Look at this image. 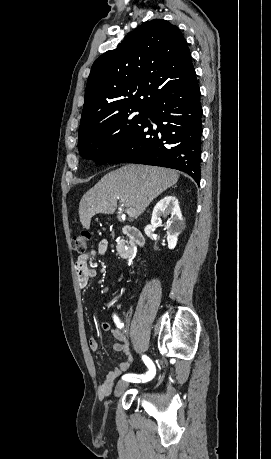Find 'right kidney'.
Here are the masks:
<instances>
[{
    "label": "right kidney",
    "instance_id": "obj_1",
    "mask_svg": "<svg viewBox=\"0 0 271 459\" xmlns=\"http://www.w3.org/2000/svg\"><path fill=\"white\" fill-rule=\"evenodd\" d=\"M171 214V218H168L165 228L167 229V241L169 249H173L178 241V235L185 228V222L182 218L181 210L179 208V202L175 196H166L163 200H160L156 204L152 218V226H158L161 218H167Z\"/></svg>",
    "mask_w": 271,
    "mask_h": 459
}]
</instances>
